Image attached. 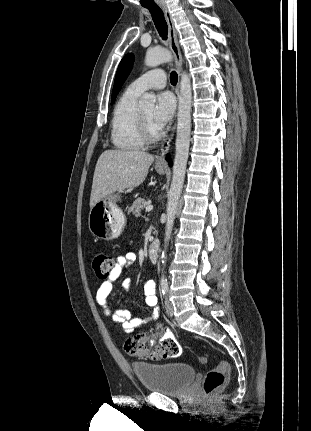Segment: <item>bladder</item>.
Segmentation results:
<instances>
[{"instance_id":"obj_1","label":"bladder","mask_w":311,"mask_h":431,"mask_svg":"<svg viewBox=\"0 0 311 431\" xmlns=\"http://www.w3.org/2000/svg\"><path fill=\"white\" fill-rule=\"evenodd\" d=\"M132 369L144 389L165 395L183 393L195 378L194 368L186 363L139 362Z\"/></svg>"}]
</instances>
